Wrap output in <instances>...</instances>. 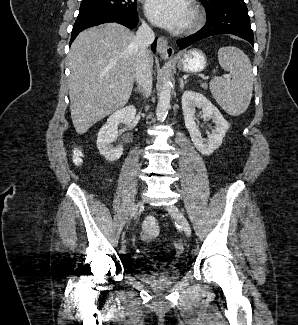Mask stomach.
<instances>
[{"label": "stomach", "mask_w": 298, "mask_h": 325, "mask_svg": "<svg viewBox=\"0 0 298 325\" xmlns=\"http://www.w3.org/2000/svg\"><path fill=\"white\" fill-rule=\"evenodd\" d=\"M169 62H176L182 72H202L207 66V56L200 48H190L177 54L176 58H165Z\"/></svg>", "instance_id": "stomach-1"}]
</instances>
